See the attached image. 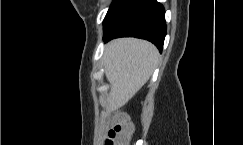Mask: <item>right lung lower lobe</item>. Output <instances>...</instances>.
<instances>
[{
  "instance_id": "right-lung-lower-lobe-1",
  "label": "right lung lower lobe",
  "mask_w": 243,
  "mask_h": 145,
  "mask_svg": "<svg viewBox=\"0 0 243 145\" xmlns=\"http://www.w3.org/2000/svg\"><path fill=\"white\" fill-rule=\"evenodd\" d=\"M103 25L104 41L132 36L151 41L162 51L165 10L156 0H113Z\"/></svg>"
}]
</instances>
